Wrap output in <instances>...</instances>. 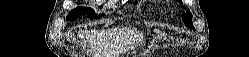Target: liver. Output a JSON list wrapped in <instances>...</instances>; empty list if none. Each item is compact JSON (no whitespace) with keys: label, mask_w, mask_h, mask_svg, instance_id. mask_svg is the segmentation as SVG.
<instances>
[{"label":"liver","mask_w":249,"mask_h":57,"mask_svg":"<svg viewBox=\"0 0 249 57\" xmlns=\"http://www.w3.org/2000/svg\"><path fill=\"white\" fill-rule=\"evenodd\" d=\"M83 35L87 36V41L93 46V50L104 49L106 56H94V57H113V50L116 47V43L124 44L128 42L129 34L120 28H114L108 31H83ZM96 55V53L94 54ZM99 55V54H97Z\"/></svg>","instance_id":"obj_1"}]
</instances>
